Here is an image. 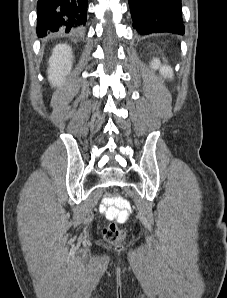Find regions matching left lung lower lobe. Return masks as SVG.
Masks as SVG:
<instances>
[{
	"label": "left lung lower lobe",
	"instance_id": "1",
	"mask_svg": "<svg viewBox=\"0 0 227 298\" xmlns=\"http://www.w3.org/2000/svg\"><path fill=\"white\" fill-rule=\"evenodd\" d=\"M133 27L140 35L184 34L181 0H129Z\"/></svg>",
	"mask_w": 227,
	"mask_h": 298
}]
</instances>
